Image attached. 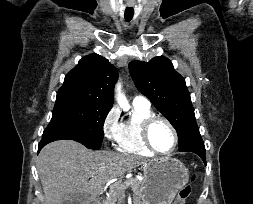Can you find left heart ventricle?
<instances>
[{"instance_id":"left-heart-ventricle-1","label":"left heart ventricle","mask_w":253,"mask_h":204,"mask_svg":"<svg viewBox=\"0 0 253 204\" xmlns=\"http://www.w3.org/2000/svg\"><path fill=\"white\" fill-rule=\"evenodd\" d=\"M150 139L153 145L162 152L171 150L174 138L169 127L161 121L156 122L150 130Z\"/></svg>"}]
</instances>
